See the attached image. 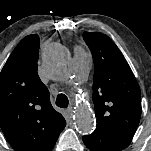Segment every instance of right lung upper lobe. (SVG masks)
<instances>
[{
    "instance_id": "1",
    "label": "right lung upper lobe",
    "mask_w": 151,
    "mask_h": 151,
    "mask_svg": "<svg viewBox=\"0 0 151 151\" xmlns=\"http://www.w3.org/2000/svg\"><path fill=\"white\" fill-rule=\"evenodd\" d=\"M38 35L23 38L0 73V127L15 151H51L64 117L37 74Z\"/></svg>"
}]
</instances>
